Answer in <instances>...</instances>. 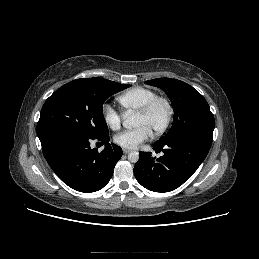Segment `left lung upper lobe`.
<instances>
[{
    "mask_svg": "<svg viewBox=\"0 0 259 259\" xmlns=\"http://www.w3.org/2000/svg\"><path fill=\"white\" fill-rule=\"evenodd\" d=\"M147 84L162 88L170 98L174 120L168 134L159 141L193 135L213 140L214 116L205 98L189 84L171 78H157Z\"/></svg>",
    "mask_w": 259,
    "mask_h": 259,
    "instance_id": "left-lung-upper-lobe-1",
    "label": "left lung upper lobe"
}]
</instances>
